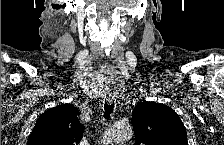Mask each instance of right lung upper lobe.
Instances as JSON below:
<instances>
[{"instance_id":"1","label":"right lung upper lobe","mask_w":224,"mask_h":145,"mask_svg":"<svg viewBox=\"0 0 224 145\" xmlns=\"http://www.w3.org/2000/svg\"><path fill=\"white\" fill-rule=\"evenodd\" d=\"M74 105L63 104L43 113L32 130L29 145H74L83 137V128Z\"/></svg>"}]
</instances>
